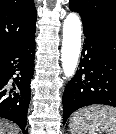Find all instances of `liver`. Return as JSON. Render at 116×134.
<instances>
[{
	"label": "liver",
	"instance_id": "liver-1",
	"mask_svg": "<svg viewBox=\"0 0 116 134\" xmlns=\"http://www.w3.org/2000/svg\"><path fill=\"white\" fill-rule=\"evenodd\" d=\"M19 133V129L8 123V122H3L0 121V134H18Z\"/></svg>",
	"mask_w": 116,
	"mask_h": 134
}]
</instances>
